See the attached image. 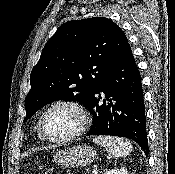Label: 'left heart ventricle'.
I'll use <instances>...</instances> for the list:
<instances>
[{
  "label": "left heart ventricle",
  "mask_w": 175,
  "mask_h": 174,
  "mask_svg": "<svg viewBox=\"0 0 175 174\" xmlns=\"http://www.w3.org/2000/svg\"><path fill=\"white\" fill-rule=\"evenodd\" d=\"M78 115L70 108L57 107L51 110L44 119V130L53 138H62L77 129Z\"/></svg>",
  "instance_id": "left-heart-ventricle-1"
}]
</instances>
